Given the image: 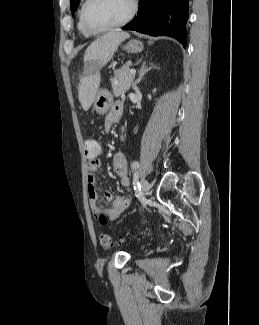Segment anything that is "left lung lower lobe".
Wrapping results in <instances>:
<instances>
[{"label": "left lung lower lobe", "mask_w": 259, "mask_h": 325, "mask_svg": "<svg viewBox=\"0 0 259 325\" xmlns=\"http://www.w3.org/2000/svg\"><path fill=\"white\" fill-rule=\"evenodd\" d=\"M189 0H140L137 16L123 30L170 36L185 47Z\"/></svg>", "instance_id": "1"}]
</instances>
